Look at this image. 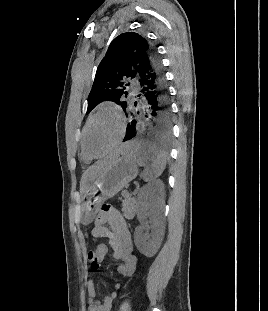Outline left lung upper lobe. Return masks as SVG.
I'll return each instance as SVG.
<instances>
[{
	"instance_id": "left-lung-upper-lobe-1",
	"label": "left lung upper lobe",
	"mask_w": 268,
	"mask_h": 311,
	"mask_svg": "<svg viewBox=\"0 0 268 311\" xmlns=\"http://www.w3.org/2000/svg\"><path fill=\"white\" fill-rule=\"evenodd\" d=\"M150 49L148 41L135 32L123 33L111 42L88 96V113L105 100L115 102L126 112L130 107L127 79H137L140 63L149 58Z\"/></svg>"
}]
</instances>
